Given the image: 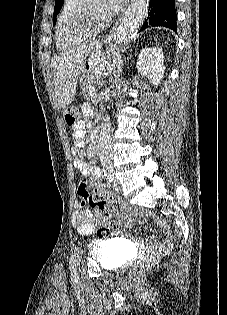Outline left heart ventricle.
Masks as SVG:
<instances>
[{"label": "left heart ventricle", "mask_w": 227, "mask_h": 315, "mask_svg": "<svg viewBox=\"0 0 227 315\" xmlns=\"http://www.w3.org/2000/svg\"><path fill=\"white\" fill-rule=\"evenodd\" d=\"M102 2L100 0H88V9L95 19H103L101 15Z\"/></svg>", "instance_id": "obj_1"}]
</instances>
